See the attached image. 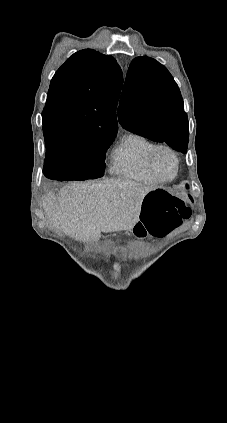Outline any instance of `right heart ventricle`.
<instances>
[{
    "mask_svg": "<svg viewBox=\"0 0 227 423\" xmlns=\"http://www.w3.org/2000/svg\"><path fill=\"white\" fill-rule=\"evenodd\" d=\"M154 145L146 136L139 133L123 135L112 153V174L145 184L161 183L162 181L153 175L146 163L147 153Z\"/></svg>",
    "mask_w": 227,
    "mask_h": 423,
    "instance_id": "e07e8e85",
    "label": "right heart ventricle"
}]
</instances>
